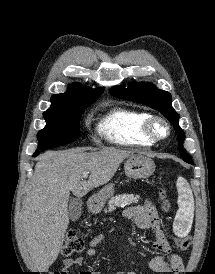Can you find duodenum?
I'll return each instance as SVG.
<instances>
[{"mask_svg":"<svg viewBox=\"0 0 215 274\" xmlns=\"http://www.w3.org/2000/svg\"><path fill=\"white\" fill-rule=\"evenodd\" d=\"M95 205H96L95 200L94 199H90V201H89V207L90 208H94Z\"/></svg>","mask_w":215,"mask_h":274,"instance_id":"410a0bca","label":"duodenum"}]
</instances>
